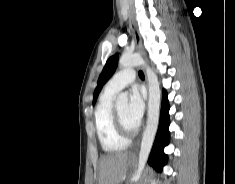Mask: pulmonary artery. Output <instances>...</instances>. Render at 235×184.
<instances>
[{
  "instance_id": "obj_1",
  "label": "pulmonary artery",
  "mask_w": 235,
  "mask_h": 184,
  "mask_svg": "<svg viewBox=\"0 0 235 184\" xmlns=\"http://www.w3.org/2000/svg\"><path fill=\"white\" fill-rule=\"evenodd\" d=\"M136 79V72L133 69H125L116 73L105 85V92L116 94L125 87L131 85Z\"/></svg>"
}]
</instances>
